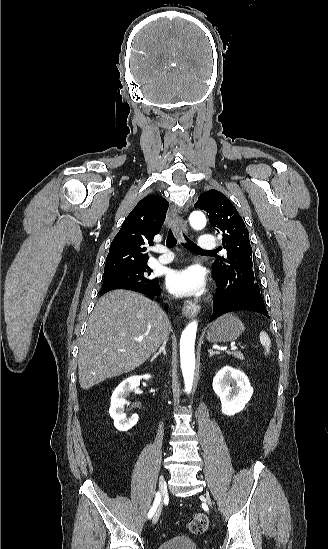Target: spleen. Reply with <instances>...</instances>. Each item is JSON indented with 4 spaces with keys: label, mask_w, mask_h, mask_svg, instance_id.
I'll return each mask as SVG.
<instances>
[{
    "label": "spleen",
    "mask_w": 328,
    "mask_h": 549,
    "mask_svg": "<svg viewBox=\"0 0 328 549\" xmlns=\"http://www.w3.org/2000/svg\"><path fill=\"white\" fill-rule=\"evenodd\" d=\"M259 339L262 347H264L265 355H268V353H270L271 341L267 333H265V331H261Z\"/></svg>",
    "instance_id": "spleen-1"
}]
</instances>
